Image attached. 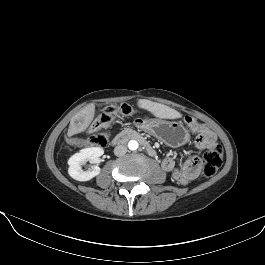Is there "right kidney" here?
Segmentation results:
<instances>
[{
    "instance_id": "right-kidney-1",
    "label": "right kidney",
    "mask_w": 265,
    "mask_h": 265,
    "mask_svg": "<svg viewBox=\"0 0 265 265\" xmlns=\"http://www.w3.org/2000/svg\"><path fill=\"white\" fill-rule=\"evenodd\" d=\"M104 150L101 147H90L81 150L79 153L73 155L69 160V175L77 181H89L100 174V167L98 165L91 166L87 171L82 170V165L89 161L93 162L98 157L103 155Z\"/></svg>"
}]
</instances>
